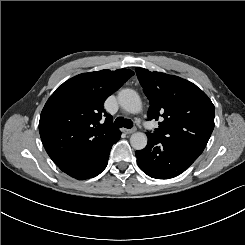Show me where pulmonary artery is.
Here are the masks:
<instances>
[{"label": "pulmonary artery", "mask_w": 245, "mask_h": 245, "mask_svg": "<svg viewBox=\"0 0 245 245\" xmlns=\"http://www.w3.org/2000/svg\"><path fill=\"white\" fill-rule=\"evenodd\" d=\"M139 126L144 130V133L148 137H153L157 133V128L153 125V121L149 117H143L139 121Z\"/></svg>", "instance_id": "obj_1"}]
</instances>
